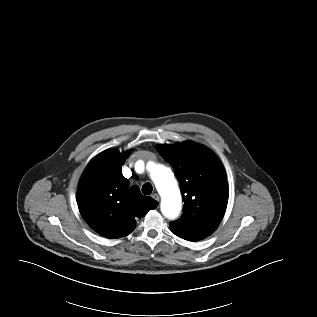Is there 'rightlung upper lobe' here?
<instances>
[{"label":"right lung upper lobe","instance_id":"1","mask_svg":"<svg viewBox=\"0 0 317 317\" xmlns=\"http://www.w3.org/2000/svg\"><path fill=\"white\" fill-rule=\"evenodd\" d=\"M131 151L105 150L85 169L77 190V202L87 224L106 238L130 234L138 218L144 217L158 202L143 196L138 187L129 188L121 167Z\"/></svg>","mask_w":317,"mask_h":317}]
</instances>
